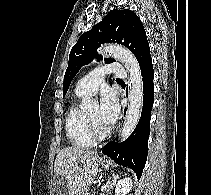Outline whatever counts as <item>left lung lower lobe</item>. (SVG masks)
Returning <instances> with one entry per match:
<instances>
[{"instance_id":"1","label":"left lung lower lobe","mask_w":211,"mask_h":195,"mask_svg":"<svg viewBox=\"0 0 211 195\" xmlns=\"http://www.w3.org/2000/svg\"><path fill=\"white\" fill-rule=\"evenodd\" d=\"M143 77V109L140 120L130 137L122 143L112 141L102 153L113 159L117 164L131 168L141 177L148 154V138L150 134L151 110L153 107L154 70L151 57L140 66Z\"/></svg>"}]
</instances>
